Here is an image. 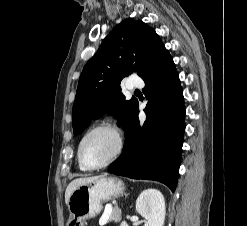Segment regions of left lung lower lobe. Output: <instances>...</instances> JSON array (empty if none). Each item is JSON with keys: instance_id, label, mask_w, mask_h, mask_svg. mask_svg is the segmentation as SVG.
Masks as SVG:
<instances>
[{"instance_id": "1", "label": "left lung lower lobe", "mask_w": 247, "mask_h": 226, "mask_svg": "<svg viewBox=\"0 0 247 226\" xmlns=\"http://www.w3.org/2000/svg\"><path fill=\"white\" fill-rule=\"evenodd\" d=\"M149 97L143 125L138 103L125 128L124 150L108 171L133 179L155 180L175 190L181 161L185 108L179 76L169 51L160 50L142 77Z\"/></svg>"}]
</instances>
